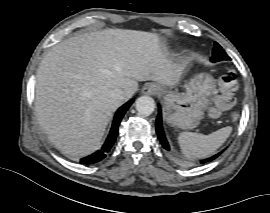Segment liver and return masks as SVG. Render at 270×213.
I'll list each match as a JSON object with an SVG mask.
<instances>
[{"label": "liver", "instance_id": "obj_1", "mask_svg": "<svg viewBox=\"0 0 270 213\" xmlns=\"http://www.w3.org/2000/svg\"><path fill=\"white\" fill-rule=\"evenodd\" d=\"M182 67L172 63L155 33L107 29L52 47L36 78L35 111L48 139L62 152L86 156L99 148L113 112L130 99L138 81L179 83ZM122 89V102L110 92Z\"/></svg>", "mask_w": 270, "mask_h": 213}]
</instances>
